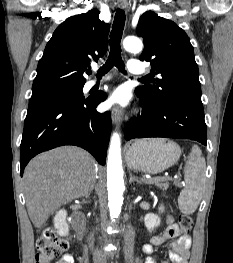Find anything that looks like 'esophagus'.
Here are the masks:
<instances>
[{"label": "esophagus", "instance_id": "1", "mask_svg": "<svg viewBox=\"0 0 233 263\" xmlns=\"http://www.w3.org/2000/svg\"><path fill=\"white\" fill-rule=\"evenodd\" d=\"M119 6L125 11H129V3L127 0H120L119 1ZM111 116L114 124L118 125L122 122L123 120V112L121 108L119 107H113L111 110Z\"/></svg>", "mask_w": 233, "mask_h": 263}]
</instances>
